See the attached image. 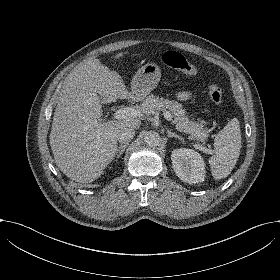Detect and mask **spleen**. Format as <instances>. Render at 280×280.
<instances>
[{"label": "spleen", "instance_id": "1", "mask_svg": "<svg viewBox=\"0 0 280 280\" xmlns=\"http://www.w3.org/2000/svg\"><path fill=\"white\" fill-rule=\"evenodd\" d=\"M215 154L210 159L212 175L215 179L225 178L238 161L241 150V130L239 120L231 118L214 140Z\"/></svg>", "mask_w": 280, "mask_h": 280}]
</instances>
